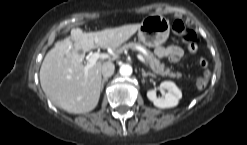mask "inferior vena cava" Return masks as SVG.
<instances>
[{"instance_id":"inferior-vena-cava-1","label":"inferior vena cava","mask_w":247,"mask_h":145,"mask_svg":"<svg viewBox=\"0 0 247 145\" xmlns=\"http://www.w3.org/2000/svg\"><path fill=\"white\" fill-rule=\"evenodd\" d=\"M115 66L112 62H105L102 65L101 72L104 78L111 77L114 73Z\"/></svg>"}]
</instances>
